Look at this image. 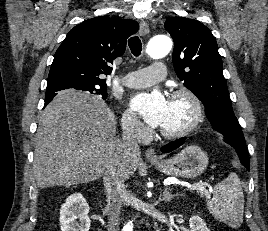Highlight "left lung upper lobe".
I'll return each instance as SVG.
<instances>
[{
    "label": "left lung upper lobe",
    "instance_id": "obj_1",
    "mask_svg": "<svg viewBox=\"0 0 268 231\" xmlns=\"http://www.w3.org/2000/svg\"><path fill=\"white\" fill-rule=\"evenodd\" d=\"M165 28L174 40L173 65L185 87L205 106L213 129L233 147H246L241 126L232 109L222 60L211 31L201 22L184 17L168 18Z\"/></svg>",
    "mask_w": 268,
    "mask_h": 231
}]
</instances>
